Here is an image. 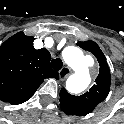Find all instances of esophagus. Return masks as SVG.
I'll list each match as a JSON object with an SVG mask.
<instances>
[{
	"instance_id": "1",
	"label": "esophagus",
	"mask_w": 124,
	"mask_h": 124,
	"mask_svg": "<svg viewBox=\"0 0 124 124\" xmlns=\"http://www.w3.org/2000/svg\"><path fill=\"white\" fill-rule=\"evenodd\" d=\"M72 73V70L69 67H63L59 71V76L61 80L66 79L70 74Z\"/></svg>"
}]
</instances>
